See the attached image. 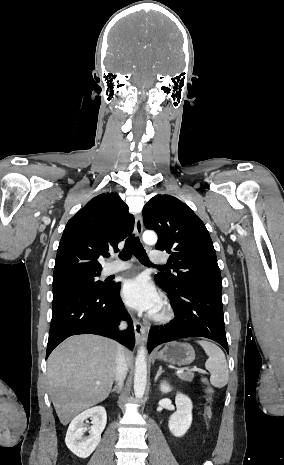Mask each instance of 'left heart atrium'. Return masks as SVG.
Masks as SVG:
<instances>
[{"instance_id": "left-heart-atrium-1", "label": "left heart atrium", "mask_w": 284, "mask_h": 465, "mask_svg": "<svg viewBox=\"0 0 284 465\" xmlns=\"http://www.w3.org/2000/svg\"><path fill=\"white\" fill-rule=\"evenodd\" d=\"M121 295L124 303L133 310L152 313L159 310L161 305V296L143 275L128 280Z\"/></svg>"}]
</instances>
